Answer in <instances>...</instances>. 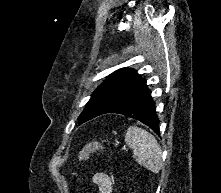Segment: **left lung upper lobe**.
Returning <instances> with one entry per match:
<instances>
[{
  "label": "left lung upper lobe",
  "instance_id": "left-lung-upper-lobe-1",
  "mask_svg": "<svg viewBox=\"0 0 221 193\" xmlns=\"http://www.w3.org/2000/svg\"><path fill=\"white\" fill-rule=\"evenodd\" d=\"M138 78L140 75L137 72L127 68L112 73L92 94L85 109L78 117L80 123L101 115L121 92Z\"/></svg>",
  "mask_w": 221,
  "mask_h": 193
}]
</instances>
